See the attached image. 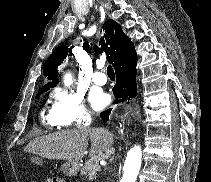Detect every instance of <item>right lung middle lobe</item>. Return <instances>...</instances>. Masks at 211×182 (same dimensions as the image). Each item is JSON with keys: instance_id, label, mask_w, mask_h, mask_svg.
I'll return each mask as SVG.
<instances>
[{"instance_id": "right-lung-middle-lobe-1", "label": "right lung middle lobe", "mask_w": 211, "mask_h": 182, "mask_svg": "<svg viewBox=\"0 0 211 182\" xmlns=\"http://www.w3.org/2000/svg\"><path fill=\"white\" fill-rule=\"evenodd\" d=\"M46 91H47V90H46ZM44 92H45V91H44ZM42 93H43V92L39 93V94L36 96V98H38Z\"/></svg>"}]
</instances>
